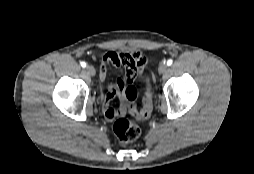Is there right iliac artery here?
<instances>
[{"mask_svg":"<svg viewBox=\"0 0 254 174\" xmlns=\"http://www.w3.org/2000/svg\"><path fill=\"white\" fill-rule=\"evenodd\" d=\"M81 66L84 68L86 67V63L85 62H81Z\"/></svg>","mask_w":254,"mask_h":174,"instance_id":"right-iliac-artery-1","label":"right iliac artery"}]
</instances>
